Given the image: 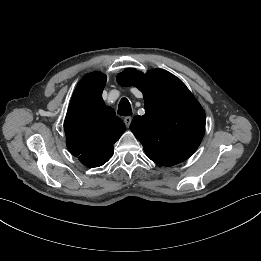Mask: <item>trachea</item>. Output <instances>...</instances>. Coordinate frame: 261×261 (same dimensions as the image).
Returning <instances> with one entry per match:
<instances>
[{"label":"trachea","mask_w":261,"mask_h":261,"mask_svg":"<svg viewBox=\"0 0 261 261\" xmlns=\"http://www.w3.org/2000/svg\"><path fill=\"white\" fill-rule=\"evenodd\" d=\"M117 113L121 116H129L132 114L131 105L127 98L120 100Z\"/></svg>","instance_id":"1"}]
</instances>
